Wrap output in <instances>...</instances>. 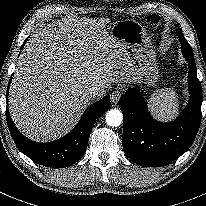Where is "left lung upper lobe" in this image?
<instances>
[{
    "label": "left lung upper lobe",
    "instance_id": "1",
    "mask_svg": "<svg viewBox=\"0 0 206 206\" xmlns=\"http://www.w3.org/2000/svg\"><path fill=\"white\" fill-rule=\"evenodd\" d=\"M180 31H181V30L179 29V30H178V36H179V34L181 33ZM179 38H180V37H179ZM180 42H181L182 48H186L187 51L192 52V48H191V46L189 45V43L187 42V40L184 38V36H183L182 38H180Z\"/></svg>",
    "mask_w": 206,
    "mask_h": 206
}]
</instances>
